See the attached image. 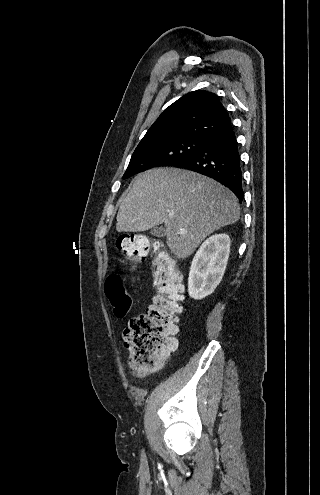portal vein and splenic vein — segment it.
I'll list each match as a JSON object with an SVG mask.
<instances>
[{
    "mask_svg": "<svg viewBox=\"0 0 320 495\" xmlns=\"http://www.w3.org/2000/svg\"><path fill=\"white\" fill-rule=\"evenodd\" d=\"M173 214L172 213H169V216H172Z\"/></svg>",
    "mask_w": 320,
    "mask_h": 495,
    "instance_id": "portal-vein-and-splenic-vein-1",
    "label": "portal vein and splenic vein"
}]
</instances>
